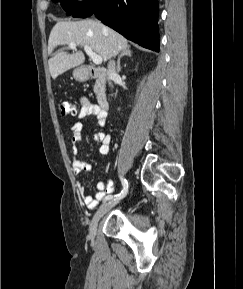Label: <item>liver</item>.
Here are the masks:
<instances>
[{
	"instance_id": "6515ba94",
	"label": "liver",
	"mask_w": 243,
	"mask_h": 289,
	"mask_svg": "<svg viewBox=\"0 0 243 289\" xmlns=\"http://www.w3.org/2000/svg\"><path fill=\"white\" fill-rule=\"evenodd\" d=\"M70 42H75L79 47L89 46L104 62L115 57L121 50L129 48L127 40L121 34L99 21L93 19L60 21L51 30L48 40V52L52 55L48 64L53 79L85 61V56L80 50L68 53L64 49H59L52 54L55 48L68 45Z\"/></svg>"
}]
</instances>
